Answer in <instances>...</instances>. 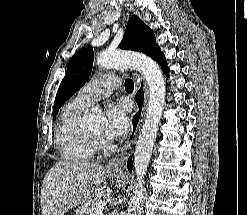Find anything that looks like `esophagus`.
Returning a JSON list of instances; mask_svg holds the SVG:
<instances>
[{
	"label": "esophagus",
	"instance_id": "34e87169",
	"mask_svg": "<svg viewBox=\"0 0 247 215\" xmlns=\"http://www.w3.org/2000/svg\"><path fill=\"white\" fill-rule=\"evenodd\" d=\"M134 77V92L132 95L133 102L135 104L134 111L130 120V131L125 143L120 148L118 154L113 157L106 165L108 172L117 174L122 173V166L127 161L129 153L136 141L138 132L141 128V124L145 115L147 106V98L149 94L146 81L138 73H133Z\"/></svg>",
	"mask_w": 247,
	"mask_h": 215
}]
</instances>
